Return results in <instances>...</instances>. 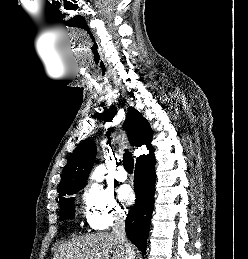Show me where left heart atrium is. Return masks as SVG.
<instances>
[{
    "label": "left heart atrium",
    "instance_id": "left-heart-atrium-1",
    "mask_svg": "<svg viewBox=\"0 0 248 259\" xmlns=\"http://www.w3.org/2000/svg\"><path fill=\"white\" fill-rule=\"evenodd\" d=\"M118 195L120 199L127 205H130L135 200V194L129 186H122L118 190Z\"/></svg>",
    "mask_w": 248,
    "mask_h": 259
}]
</instances>
